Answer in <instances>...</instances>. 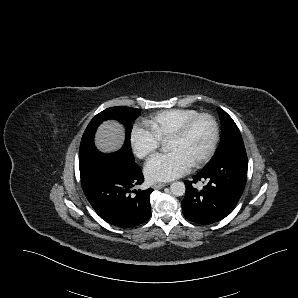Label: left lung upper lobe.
Instances as JSON below:
<instances>
[{"label":"left lung upper lobe","instance_id":"left-lung-upper-lobe-1","mask_svg":"<svg viewBox=\"0 0 298 298\" xmlns=\"http://www.w3.org/2000/svg\"><path fill=\"white\" fill-rule=\"evenodd\" d=\"M218 113L222 125V135L216 154L211 161L232 150L245 148L240 131L233 119L221 108H218Z\"/></svg>","mask_w":298,"mask_h":298}]
</instances>
